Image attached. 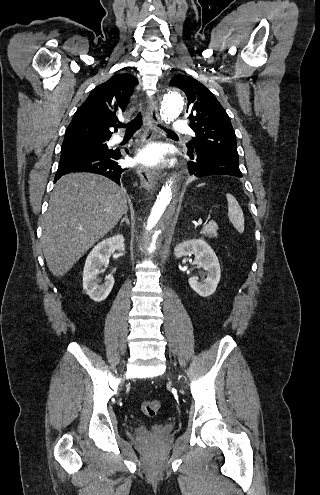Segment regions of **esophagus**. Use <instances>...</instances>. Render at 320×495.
<instances>
[{
  "label": "esophagus",
  "instance_id": "obj_1",
  "mask_svg": "<svg viewBox=\"0 0 320 495\" xmlns=\"http://www.w3.org/2000/svg\"><path fill=\"white\" fill-rule=\"evenodd\" d=\"M159 122L158 107L156 101L152 100L148 108V116L146 119V132L144 134V141L149 142L156 138L157 127L156 124ZM136 173L140 178V182L143 187L150 190L157 183L154 175L145 167L137 166Z\"/></svg>",
  "mask_w": 320,
  "mask_h": 495
}]
</instances>
